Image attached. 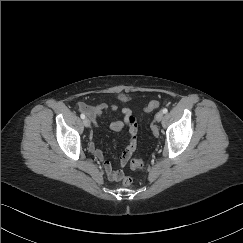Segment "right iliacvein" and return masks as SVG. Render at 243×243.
Instances as JSON below:
<instances>
[{
	"instance_id": "1",
	"label": "right iliac vein",
	"mask_w": 243,
	"mask_h": 243,
	"mask_svg": "<svg viewBox=\"0 0 243 243\" xmlns=\"http://www.w3.org/2000/svg\"><path fill=\"white\" fill-rule=\"evenodd\" d=\"M83 124L85 127H90L91 126V121L88 118H85L83 120Z\"/></svg>"
}]
</instances>
